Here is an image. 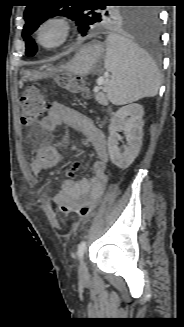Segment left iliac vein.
Listing matches in <instances>:
<instances>
[{
    "label": "left iliac vein",
    "instance_id": "left-iliac-vein-1",
    "mask_svg": "<svg viewBox=\"0 0 184 327\" xmlns=\"http://www.w3.org/2000/svg\"><path fill=\"white\" fill-rule=\"evenodd\" d=\"M87 275H88V270H87L86 264L84 261H81L80 265H79V277L85 278V277H87Z\"/></svg>",
    "mask_w": 184,
    "mask_h": 327
}]
</instances>
